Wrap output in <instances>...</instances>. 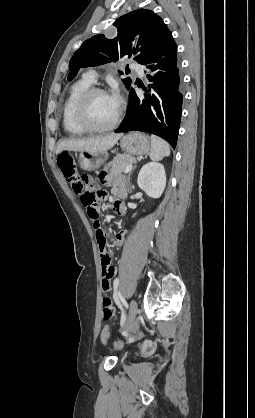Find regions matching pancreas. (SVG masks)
<instances>
[{
  "instance_id": "obj_1",
  "label": "pancreas",
  "mask_w": 255,
  "mask_h": 418,
  "mask_svg": "<svg viewBox=\"0 0 255 418\" xmlns=\"http://www.w3.org/2000/svg\"><path fill=\"white\" fill-rule=\"evenodd\" d=\"M136 159L131 155H117L110 163V175L112 177H119L121 173L131 164L135 163Z\"/></svg>"
}]
</instances>
